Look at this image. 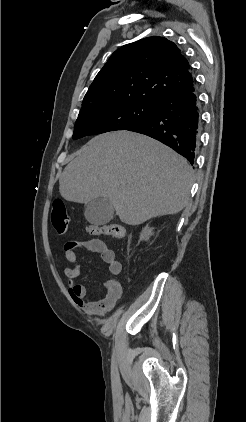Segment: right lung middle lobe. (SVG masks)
<instances>
[{
	"instance_id": "obj_1",
	"label": "right lung middle lobe",
	"mask_w": 246,
	"mask_h": 422,
	"mask_svg": "<svg viewBox=\"0 0 246 422\" xmlns=\"http://www.w3.org/2000/svg\"><path fill=\"white\" fill-rule=\"evenodd\" d=\"M155 112L156 103L133 98H122L84 106L76 120L73 139L109 131L127 130L131 126L153 117Z\"/></svg>"
}]
</instances>
